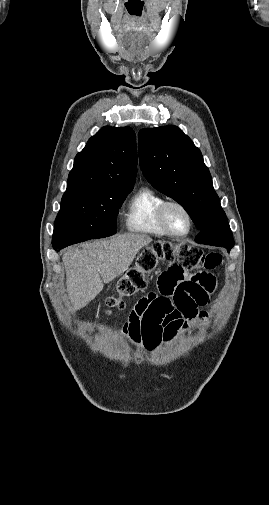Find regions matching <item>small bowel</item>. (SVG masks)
Masks as SVG:
<instances>
[{"instance_id":"obj_1","label":"small bowel","mask_w":269,"mask_h":505,"mask_svg":"<svg viewBox=\"0 0 269 505\" xmlns=\"http://www.w3.org/2000/svg\"><path fill=\"white\" fill-rule=\"evenodd\" d=\"M178 267V262H172ZM156 289L142 298L130 312L123 333L136 345L156 349L163 340L186 331L196 320L205 321L207 312L198 307L209 302L216 289V275L211 268L188 274L185 268H163ZM142 305V307H138Z\"/></svg>"}]
</instances>
